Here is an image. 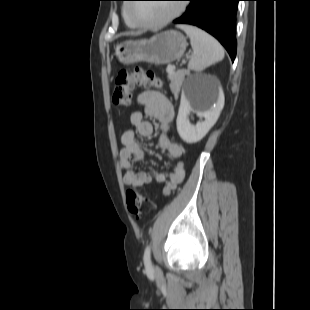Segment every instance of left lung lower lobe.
<instances>
[{
  "label": "left lung lower lobe",
  "instance_id": "obj_1",
  "mask_svg": "<svg viewBox=\"0 0 310 310\" xmlns=\"http://www.w3.org/2000/svg\"><path fill=\"white\" fill-rule=\"evenodd\" d=\"M186 12L175 24L197 26L214 36L228 51L232 61L236 57V13L241 0H187Z\"/></svg>",
  "mask_w": 310,
  "mask_h": 310
}]
</instances>
